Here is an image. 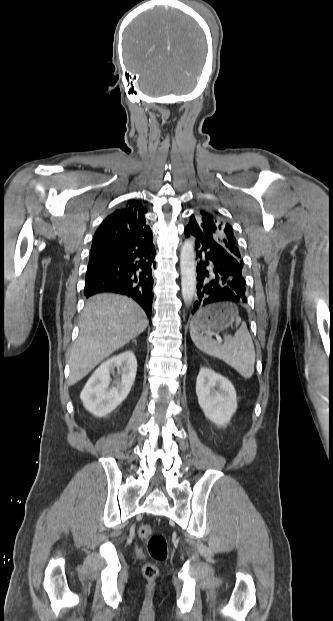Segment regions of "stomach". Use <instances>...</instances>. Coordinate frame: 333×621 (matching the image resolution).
<instances>
[{
  "mask_svg": "<svg viewBox=\"0 0 333 621\" xmlns=\"http://www.w3.org/2000/svg\"><path fill=\"white\" fill-rule=\"evenodd\" d=\"M239 319L238 310L229 303H220L209 306L205 313L199 316L202 332L221 331L232 326Z\"/></svg>",
  "mask_w": 333,
  "mask_h": 621,
  "instance_id": "obj_1",
  "label": "stomach"
}]
</instances>
